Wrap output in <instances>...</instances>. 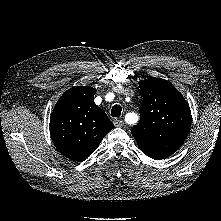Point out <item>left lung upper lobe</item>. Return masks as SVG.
I'll return each mask as SVG.
<instances>
[{"label": "left lung upper lobe", "instance_id": "left-lung-upper-lobe-1", "mask_svg": "<svg viewBox=\"0 0 221 221\" xmlns=\"http://www.w3.org/2000/svg\"><path fill=\"white\" fill-rule=\"evenodd\" d=\"M143 95L140 122L131 128L141 151L163 159L184 143L191 126V111L182 94L168 81L151 78L139 83Z\"/></svg>", "mask_w": 221, "mask_h": 221}]
</instances>
